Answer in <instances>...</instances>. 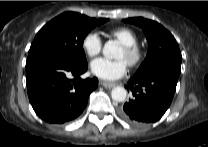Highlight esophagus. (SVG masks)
<instances>
[{
  "label": "esophagus",
  "instance_id": "1",
  "mask_svg": "<svg viewBox=\"0 0 208 147\" xmlns=\"http://www.w3.org/2000/svg\"><path fill=\"white\" fill-rule=\"evenodd\" d=\"M100 84L105 88H113L116 86V83L108 82V81H100Z\"/></svg>",
  "mask_w": 208,
  "mask_h": 147
}]
</instances>
